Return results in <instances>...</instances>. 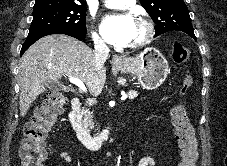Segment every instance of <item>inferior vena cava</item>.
Returning <instances> with one entry per match:
<instances>
[{
    "label": "inferior vena cava",
    "instance_id": "obj_1",
    "mask_svg": "<svg viewBox=\"0 0 227 166\" xmlns=\"http://www.w3.org/2000/svg\"><path fill=\"white\" fill-rule=\"evenodd\" d=\"M94 41V55H95V64L97 71H100L103 68L105 61L109 56V48L105 42L99 37L93 38Z\"/></svg>",
    "mask_w": 227,
    "mask_h": 166
}]
</instances>
